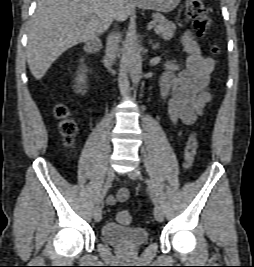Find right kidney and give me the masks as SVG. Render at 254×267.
I'll return each instance as SVG.
<instances>
[{
  "instance_id": "obj_1",
  "label": "right kidney",
  "mask_w": 254,
  "mask_h": 267,
  "mask_svg": "<svg viewBox=\"0 0 254 267\" xmlns=\"http://www.w3.org/2000/svg\"><path fill=\"white\" fill-rule=\"evenodd\" d=\"M86 79L87 76L85 74V71L80 69L77 72V77L75 78L76 84L74 85L76 93L84 94L86 92Z\"/></svg>"
}]
</instances>
